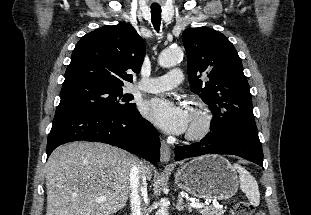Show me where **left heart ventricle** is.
I'll use <instances>...</instances> for the list:
<instances>
[{"label": "left heart ventricle", "instance_id": "b2bd125f", "mask_svg": "<svg viewBox=\"0 0 311 215\" xmlns=\"http://www.w3.org/2000/svg\"><path fill=\"white\" fill-rule=\"evenodd\" d=\"M192 123V116H191V114H190V122H189V126H190V124Z\"/></svg>", "mask_w": 311, "mask_h": 215}]
</instances>
